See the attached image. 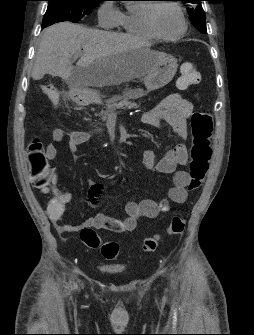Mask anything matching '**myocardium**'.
<instances>
[{"mask_svg":"<svg viewBox=\"0 0 254 335\" xmlns=\"http://www.w3.org/2000/svg\"><path fill=\"white\" fill-rule=\"evenodd\" d=\"M161 6H170L179 14L181 22H182V28L178 33L174 35H165L158 30L157 25H156L155 16H156V12L158 8ZM144 21L149 31L156 38L161 39V40H166V41L178 40L182 38L188 30V21L185 17V14L182 8L178 4L174 2H170V1H162V2L155 3V4H149L148 7L144 11Z\"/></svg>","mask_w":254,"mask_h":335,"instance_id":"f54148a6","label":"myocardium"}]
</instances>
